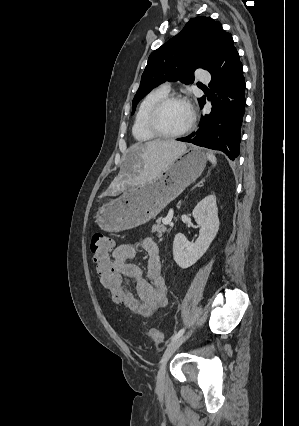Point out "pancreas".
<instances>
[{"instance_id":"1","label":"pancreas","mask_w":299,"mask_h":426,"mask_svg":"<svg viewBox=\"0 0 299 426\" xmlns=\"http://www.w3.org/2000/svg\"><path fill=\"white\" fill-rule=\"evenodd\" d=\"M161 218H159L156 223L152 226V232H156L158 237H161L164 232H169L164 224L161 223Z\"/></svg>"}]
</instances>
